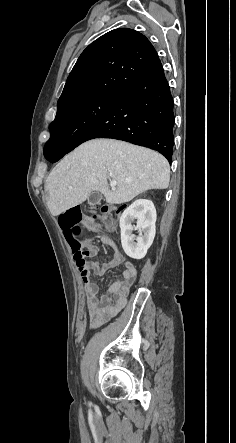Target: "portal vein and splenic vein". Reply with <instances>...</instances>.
I'll return each instance as SVG.
<instances>
[{"instance_id": "obj_1", "label": "portal vein and splenic vein", "mask_w": 236, "mask_h": 443, "mask_svg": "<svg viewBox=\"0 0 236 443\" xmlns=\"http://www.w3.org/2000/svg\"><path fill=\"white\" fill-rule=\"evenodd\" d=\"M116 184H117L116 181H113V180L110 181V186H111L112 190H115Z\"/></svg>"}]
</instances>
